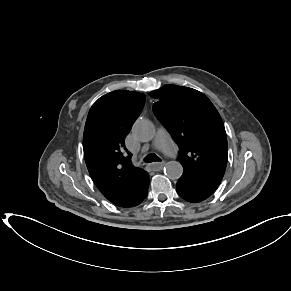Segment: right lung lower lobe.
Segmentation results:
<instances>
[{
    "label": "right lung lower lobe",
    "instance_id": "right-lung-lower-lobe-1",
    "mask_svg": "<svg viewBox=\"0 0 291 291\" xmlns=\"http://www.w3.org/2000/svg\"><path fill=\"white\" fill-rule=\"evenodd\" d=\"M147 192H148V190L146 191V192H144L143 193V195H142V198L140 199V200H137L136 202H132V203H130V204H123V203H118V204H115V205H117V206H119V207H134V206H137V205H139L143 200H144V198L147 196Z\"/></svg>",
    "mask_w": 291,
    "mask_h": 291
}]
</instances>
